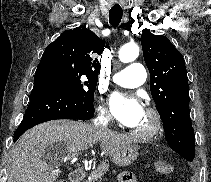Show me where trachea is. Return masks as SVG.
<instances>
[{"label":"trachea","instance_id":"obj_1","mask_svg":"<svg viewBox=\"0 0 211 182\" xmlns=\"http://www.w3.org/2000/svg\"><path fill=\"white\" fill-rule=\"evenodd\" d=\"M123 11L121 10H110L109 11V22L113 27H116L122 19Z\"/></svg>","mask_w":211,"mask_h":182}]
</instances>
